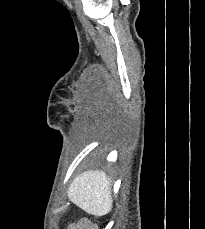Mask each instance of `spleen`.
I'll return each instance as SVG.
<instances>
[{"instance_id":"obj_1","label":"spleen","mask_w":205,"mask_h":229,"mask_svg":"<svg viewBox=\"0 0 205 229\" xmlns=\"http://www.w3.org/2000/svg\"><path fill=\"white\" fill-rule=\"evenodd\" d=\"M111 180L103 171L90 170L78 175L70 184L68 198L89 214L103 216L113 206Z\"/></svg>"}]
</instances>
